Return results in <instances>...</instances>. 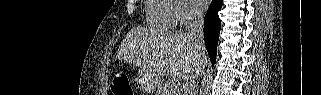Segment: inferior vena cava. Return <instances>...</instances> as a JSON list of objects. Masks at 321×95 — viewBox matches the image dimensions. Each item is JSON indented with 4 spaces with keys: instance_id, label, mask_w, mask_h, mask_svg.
Wrapping results in <instances>:
<instances>
[{
    "instance_id": "obj_1",
    "label": "inferior vena cava",
    "mask_w": 321,
    "mask_h": 95,
    "mask_svg": "<svg viewBox=\"0 0 321 95\" xmlns=\"http://www.w3.org/2000/svg\"><path fill=\"white\" fill-rule=\"evenodd\" d=\"M203 14L195 9H191L188 14V35L193 42L197 52L198 57L205 54V46L203 40ZM202 68H198L197 73L189 78V81L183 87V95H194L195 92V79L202 72Z\"/></svg>"
}]
</instances>
